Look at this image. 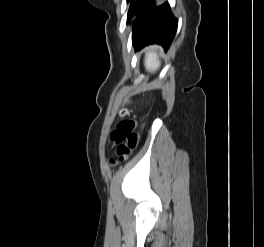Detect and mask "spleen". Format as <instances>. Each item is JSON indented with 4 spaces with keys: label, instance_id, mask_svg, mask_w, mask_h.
Here are the masks:
<instances>
[{
    "label": "spleen",
    "instance_id": "1",
    "mask_svg": "<svg viewBox=\"0 0 264 247\" xmlns=\"http://www.w3.org/2000/svg\"><path fill=\"white\" fill-rule=\"evenodd\" d=\"M144 65L149 72L157 71L161 65L158 53L155 51H148L145 57Z\"/></svg>",
    "mask_w": 264,
    "mask_h": 247
}]
</instances>
